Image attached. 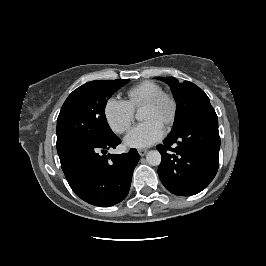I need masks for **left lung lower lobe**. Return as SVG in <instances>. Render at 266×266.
Instances as JSON below:
<instances>
[{
	"label": "left lung lower lobe",
	"mask_w": 266,
	"mask_h": 266,
	"mask_svg": "<svg viewBox=\"0 0 266 266\" xmlns=\"http://www.w3.org/2000/svg\"><path fill=\"white\" fill-rule=\"evenodd\" d=\"M173 144L175 148L171 147ZM157 149L162 156L158 175L168 191L181 196L201 192L213 180L219 165L220 137L215 110L208 109L190 120Z\"/></svg>",
	"instance_id": "obj_1"
}]
</instances>
